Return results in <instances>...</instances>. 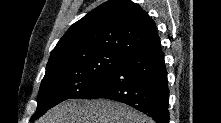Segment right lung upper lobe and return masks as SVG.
Returning a JSON list of instances; mask_svg holds the SVG:
<instances>
[{"instance_id": "cb5924a9", "label": "right lung upper lobe", "mask_w": 221, "mask_h": 123, "mask_svg": "<svg viewBox=\"0 0 221 123\" xmlns=\"http://www.w3.org/2000/svg\"><path fill=\"white\" fill-rule=\"evenodd\" d=\"M159 46L155 23L138 4L110 0L74 23L49 60L88 49L107 48L129 55Z\"/></svg>"}]
</instances>
